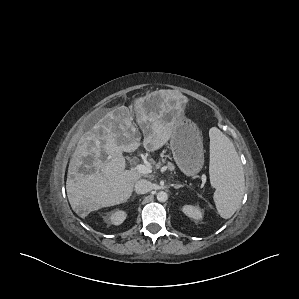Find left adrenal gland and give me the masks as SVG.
Instances as JSON below:
<instances>
[{
    "mask_svg": "<svg viewBox=\"0 0 299 299\" xmlns=\"http://www.w3.org/2000/svg\"><path fill=\"white\" fill-rule=\"evenodd\" d=\"M180 187H184V185H182V184H178V185H175V186H174L175 189H179Z\"/></svg>",
    "mask_w": 299,
    "mask_h": 299,
    "instance_id": "1",
    "label": "left adrenal gland"
}]
</instances>
